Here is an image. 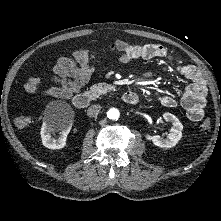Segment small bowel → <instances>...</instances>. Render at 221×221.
<instances>
[{"label":"small bowel","instance_id":"obj_1","mask_svg":"<svg viewBox=\"0 0 221 221\" xmlns=\"http://www.w3.org/2000/svg\"><path fill=\"white\" fill-rule=\"evenodd\" d=\"M104 52L118 53L121 63L152 58H165L174 62L173 56L159 44H131L124 40H116L109 44ZM98 55V51L82 48L75 50L69 57L59 58L51 71L53 85L43 90L42 94L71 98L89 81L95 71L94 62ZM176 70L189 81L181 97V106L190 120L200 121L204 117L207 102L206 81L193 65L176 63ZM159 100L161 105L167 108L178 105V101L170 95H162Z\"/></svg>","mask_w":221,"mask_h":221}]
</instances>
